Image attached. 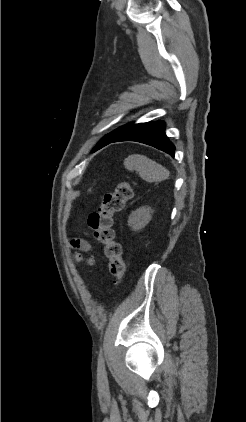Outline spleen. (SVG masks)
<instances>
[{"label":"spleen","mask_w":246,"mask_h":422,"mask_svg":"<svg viewBox=\"0 0 246 422\" xmlns=\"http://www.w3.org/2000/svg\"><path fill=\"white\" fill-rule=\"evenodd\" d=\"M124 166L129 171H137L146 182H161L167 179L170 172L145 155L133 154L124 160Z\"/></svg>","instance_id":"1"}]
</instances>
